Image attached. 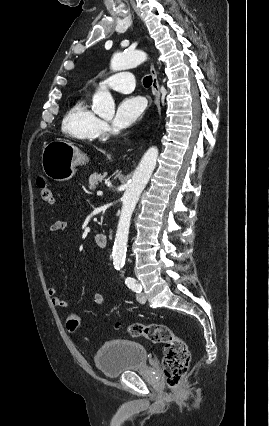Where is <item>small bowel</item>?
<instances>
[{
	"label": "small bowel",
	"instance_id": "obj_1",
	"mask_svg": "<svg viewBox=\"0 0 269 426\" xmlns=\"http://www.w3.org/2000/svg\"><path fill=\"white\" fill-rule=\"evenodd\" d=\"M67 227H68V224H67L66 221L57 220V221H54L51 224V226L49 228V232L51 234L60 233V232L65 231L67 229ZM48 294H49L51 301H52V304L55 308H57V309L68 308V302L59 295L56 287L50 286L48 288ZM106 300H107L106 297L102 294H95L93 296V303H94V305H96L98 307L103 306L106 303ZM71 317H77L78 318V316L76 314H70L68 316V318H71Z\"/></svg>",
	"mask_w": 269,
	"mask_h": 426
}]
</instances>
